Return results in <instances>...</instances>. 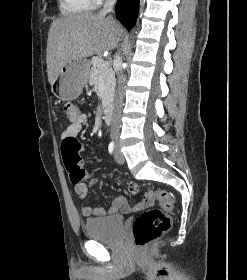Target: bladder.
<instances>
[{"mask_svg": "<svg viewBox=\"0 0 247 280\" xmlns=\"http://www.w3.org/2000/svg\"><path fill=\"white\" fill-rule=\"evenodd\" d=\"M124 226V218L119 215L89 218L84 223V233L88 239L112 242L119 238Z\"/></svg>", "mask_w": 247, "mask_h": 280, "instance_id": "31cf9c89", "label": "bladder"}]
</instances>
